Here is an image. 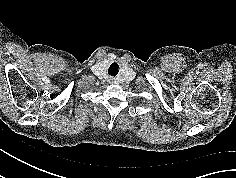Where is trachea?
Listing matches in <instances>:
<instances>
[{
  "label": "trachea",
  "instance_id": "3493384b",
  "mask_svg": "<svg viewBox=\"0 0 236 178\" xmlns=\"http://www.w3.org/2000/svg\"><path fill=\"white\" fill-rule=\"evenodd\" d=\"M117 66L118 65L116 63L111 64V66L108 69L109 75L116 76L118 74Z\"/></svg>",
  "mask_w": 236,
  "mask_h": 178
}]
</instances>
